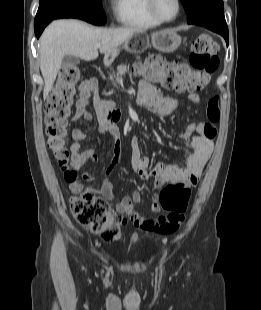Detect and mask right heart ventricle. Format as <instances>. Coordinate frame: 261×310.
I'll list each match as a JSON object with an SVG mask.
<instances>
[{
    "instance_id": "obj_1",
    "label": "right heart ventricle",
    "mask_w": 261,
    "mask_h": 310,
    "mask_svg": "<svg viewBox=\"0 0 261 310\" xmlns=\"http://www.w3.org/2000/svg\"><path fill=\"white\" fill-rule=\"evenodd\" d=\"M114 15L123 26L137 29H150L159 26L149 12L147 0H114Z\"/></svg>"
}]
</instances>
